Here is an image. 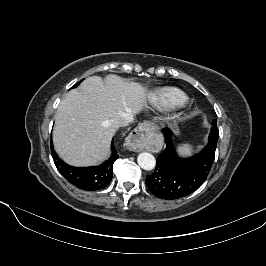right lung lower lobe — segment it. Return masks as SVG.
Instances as JSON below:
<instances>
[{
    "label": "right lung lower lobe",
    "instance_id": "right-lung-lower-lobe-1",
    "mask_svg": "<svg viewBox=\"0 0 266 266\" xmlns=\"http://www.w3.org/2000/svg\"><path fill=\"white\" fill-rule=\"evenodd\" d=\"M111 146V157L101 165L93 167H72L59 158V156L54 151L51 141L52 157L54 158V163L59 172L71 184L79 189L87 191L102 189L110 183L113 176V164L119 157L113 146V142Z\"/></svg>",
    "mask_w": 266,
    "mask_h": 266
}]
</instances>
